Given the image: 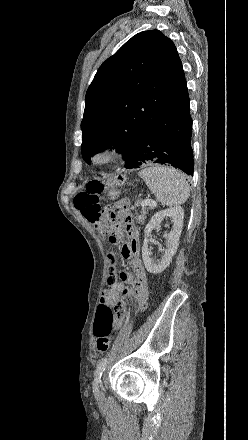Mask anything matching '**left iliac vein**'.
<instances>
[{"instance_id":"1","label":"left iliac vein","mask_w":248,"mask_h":440,"mask_svg":"<svg viewBox=\"0 0 248 440\" xmlns=\"http://www.w3.org/2000/svg\"><path fill=\"white\" fill-rule=\"evenodd\" d=\"M95 387H96V389H97V392L100 393V385L97 384V385H95Z\"/></svg>"}]
</instances>
